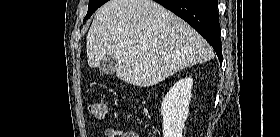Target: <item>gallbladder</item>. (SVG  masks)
Masks as SVG:
<instances>
[{
	"label": "gallbladder",
	"instance_id": "1",
	"mask_svg": "<svg viewBox=\"0 0 280 137\" xmlns=\"http://www.w3.org/2000/svg\"><path fill=\"white\" fill-rule=\"evenodd\" d=\"M117 68V61L113 56H104L99 65V71L103 75H113Z\"/></svg>",
	"mask_w": 280,
	"mask_h": 137
}]
</instances>
